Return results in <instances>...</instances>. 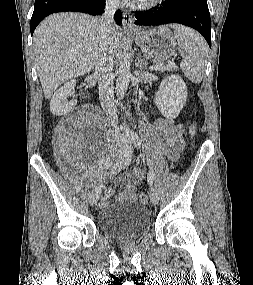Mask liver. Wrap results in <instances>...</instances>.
<instances>
[{"label":"liver","mask_w":253,"mask_h":285,"mask_svg":"<svg viewBox=\"0 0 253 285\" xmlns=\"http://www.w3.org/2000/svg\"><path fill=\"white\" fill-rule=\"evenodd\" d=\"M121 32L111 38L115 50ZM35 64L44 95L49 99L66 80L89 73L99 49L98 19L83 13H57L45 18L34 32Z\"/></svg>","instance_id":"liver-1"}]
</instances>
